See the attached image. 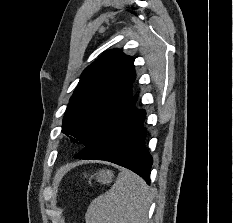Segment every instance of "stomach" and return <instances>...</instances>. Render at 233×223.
Segmentation results:
<instances>
[{"mask_svg":"<svg viewBox=\"0 0 233 223\" xmlns=\"http://www.w3.org/2000/svg\"><path fill=\"white\" fill-rule=\"evenodd\" d=\"M85 177H87L86 173H84ZM91 177H95V179H98L100 183H110L112 177H114L112 171L110 169H100V171H96V173H93V175H90Z\"/></svg>","mask_w":233,"mask_h":223,"instance_id":"obj_1","label":"stomach"}]
</instances>
